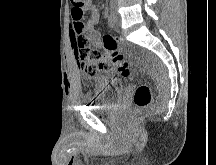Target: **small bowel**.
I'll return each mask as SVG.
<instances>
[{"instance_id":"1","label":"small bowel","mask_w":216,"mask_h":165,"mask_svg":"<svg viewBox=\"0 0 216 165\" xmlns=\"http://www.w3.org/2000/svg\"><path fill=\"white\" fill-rule=\"evenodd\" d=\"M90 16L86 22L82 21L84 10L74 8L71 11V21L69 23V40L72 49L74 50L75 58L78 60V51L76 48V39L80 35H87L90 38L91 45L94 48H99L101 45L100 33L94 27L100 21V10L97 7H89Z\"/></svg>"}]
</instances>
